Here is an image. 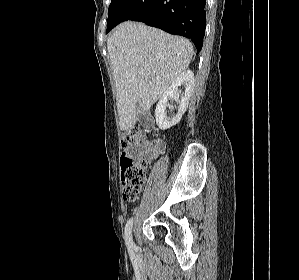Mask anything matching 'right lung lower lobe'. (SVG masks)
Here are the masks:
<instances>
[{
  "instance_id": "98d812e1",
  "label": "right lung lower lobe",
  "mask_w": 299,
  "mask_h": 280,
  "mask_svg": "<svg viewBox=\"0 0 299 280\" xmlns=\"http://www.w3.org/2000/svg\"><path fill=\"white\" fill-rule=\"evenodd\" d=\"M206 0H129L117 15L113 28L132 20L191 39L200 52L206 25Z\"/></svg>"
}]
</instances>
